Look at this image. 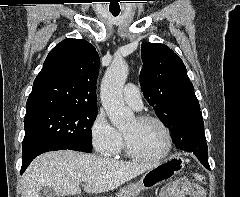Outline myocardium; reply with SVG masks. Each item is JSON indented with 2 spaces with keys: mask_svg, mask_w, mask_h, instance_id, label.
I'll use <instances>...</instances> for the list:
<instances>
[{
  "mask_svg": "<svg viewBox=\"0 0 240 197\" xmlns=\"http://www.w3.org/2000/svg\"><path fill=\"white\" fill-rule=\"evenodd\" d=\"M135 118L140 122L153 121L158 123L162 127L166 135V148L161 154L157 156L143 155L134 149L129 138L123 133L122 134L123 144H124V149L126 154L133 159H136L139 161H145V162H157L165 159L171 153L173 148V137H172V132L169 126L166 124L164 120H162L160 117L153 114H147V113L139 114Z\"/></svg>",
  "mask_w": 240,
  "mask_h": 197,
  "instance_id": "f54148a6",
  "label": "myocardium"
}]
</instances>
